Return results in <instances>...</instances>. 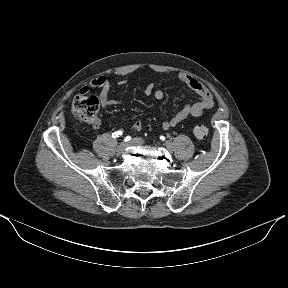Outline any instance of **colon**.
Returning <instances> with one entry per match:
<instances>
[{"label": "colon", "instance_id": "5ec220e1", "mask_svg": "<svg viewBox=\"0 0 288 288\" xmlns=\"http://www.w3.org/2000/svg\"><path fill=\"white\" fill-rule=\"evenodd\" d=\"M71 108L72 112L86 123L93 125L98 120V100L95 96L78 95L73 99ZM208 133V128L204 125H196L193 128V134L198 139L207 137Z\"/></svg>", "mask_w": 288, "mask_h": 288}]
</instances>
